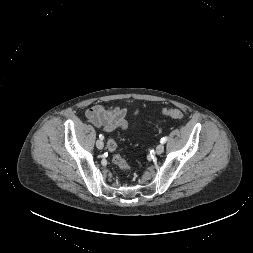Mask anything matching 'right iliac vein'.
Wrapping results in <instances>:
<instances>
[{
	"label": "right iliac vein",
	"mask_w": 253,
	"mask_h": 253,
	"mask_svg": "<svg viewBox=\"0 0 253 253\" xmlns=\"http://www.w3.org/2000/svg\"><path fill=\"white\" fill-rule=\"evenodd\" d=\"M96 147L98 149H100V150L103 149L104 143H103V141L101 139H99V140L96 141Z\"/></svg>",
	"instance_id": "1"
}]
</instances>
